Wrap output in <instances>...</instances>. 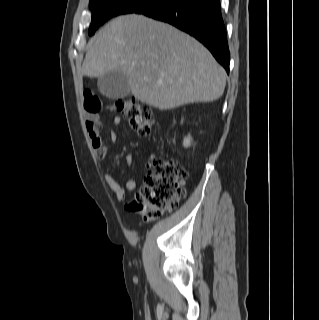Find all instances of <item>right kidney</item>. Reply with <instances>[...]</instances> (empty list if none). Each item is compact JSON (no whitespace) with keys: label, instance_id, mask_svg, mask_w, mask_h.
Wrapping results in <instances>:
<instances>
[{"label":"right kidney","instance_id":"obj_1","mask_svg":"<svg viewBox=\"0 0 319 320\" xmlns=\"http://www.w3.org/2000/svg\"><path fill=\"white\" fill-rule=\"evenodd\" d=\"M191 141H192V138L190 137V135H188L187 137L184 138L183 146L186 148L189 147L191 145Z\"/></svg>","mask_w":319,"mask_h":320}]
</instances>
